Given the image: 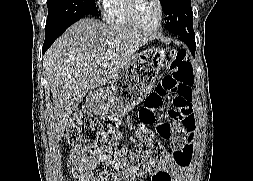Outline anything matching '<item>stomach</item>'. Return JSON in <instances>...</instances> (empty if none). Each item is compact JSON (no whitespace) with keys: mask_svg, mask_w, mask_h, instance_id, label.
I'll return each instance as SVG.
<instances>
[{"mask_svg":"<svg viewBox=\"0 0 253 181\" xmlns=\"http://www.w3.org/2000/svg\"><path fill=\"white\" fill-rule=\"evenodd\" d=\"M168 50L159 45L133 55L109 87L90 92L86 99L88 107L96 114L126 115L154 86L159 70L164 67Z\"/></svg>","mask_w":253,"mask_h":181,"instance_id":"1","label":"stomach"}]
</instances>
